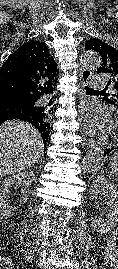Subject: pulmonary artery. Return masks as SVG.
Returning <instances> with one entry per match:
<instances>
[{"instance_id":"pulmonary-artery-1","label":"pulmonary artery","mask_w":118,"mask_h":269,"mask_svg":"<svg viewBox=\"0 0 118 269\" xmlns=\"http://www.w3.org/2000/svg\"><path fill=\"white\" fill-rule=\"evenodd\" d=\"M89 85L92 88H95V89H102V88L105 87L106 82H105V80L102 77H100V76H94L89 81Z\"/></svg>"}]
</instances>
